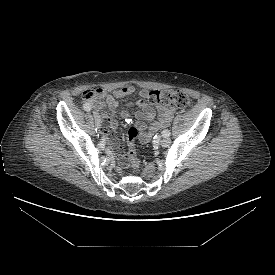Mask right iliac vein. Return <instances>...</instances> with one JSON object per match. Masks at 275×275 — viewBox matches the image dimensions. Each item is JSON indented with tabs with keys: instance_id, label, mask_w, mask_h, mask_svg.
Instances as JSON below:
<instances>
[{
	"instance_id": "1",
	"label": "right iliac vein",
	"mask_w": 275,
	"mask_h": 275,
	"mask_svg": "<svg viewBox=\"0 0 275 275\" xmlns=\"http://www.w3.org/2000/svg\"><path fill=\"white\" fill-rule=\"evenodd\" d=\"M93 114H94L95 124H96L97 128L99 129L101 126V117H100L99 113L96 111H94Z\"/></svg>"
}]
</instances>
